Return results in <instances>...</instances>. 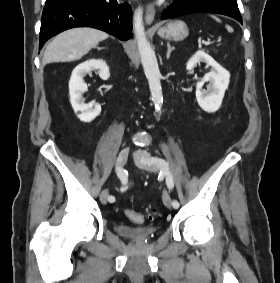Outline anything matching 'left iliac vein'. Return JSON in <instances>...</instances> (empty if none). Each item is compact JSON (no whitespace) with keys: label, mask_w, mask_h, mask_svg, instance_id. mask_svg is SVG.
<instances>
[{"label":"left iliac vein","mask_w":280,"mask_h":283,"mask_svg":"<svg viewBox=\"0 0 280 283\" xmlns=\"http://www.w3.org/2000/svg\"><path fill=\"white\" fill-rule=\"evenodd\" d=\"M134 159H135V162L141 168L145 169L146 171L156 172L158 169V166L153 161L152 156L146 151H143V150L135 151ZM162 198H163L164 205L168 208H171L172 207L171 199H170L169 194L166 191L163 192Z\"/></svg>","instance_id":"left-iliac-vein-1"}]
</instances>
